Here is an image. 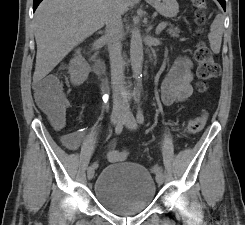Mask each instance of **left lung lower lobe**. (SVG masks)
Instances as JSON below:
<instances>
[{
	"label": "left lung lower lobe",
	"mask_w": 245,
	"mask_h": 225,
	"mask_svg": "<svg viewBox=\"0 0 245 225\" xmlns=\"http://www.w3.org/2000/svg\"><path fill=\"white\" fill-rule=\"evenodd\" d=\"M218 2L221 4V6L223 7V9H226V3L225 0H218Z\"/></svg>",
	"instance_id": "obj_1"
}]
</instances>
